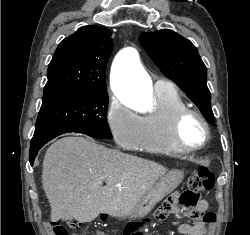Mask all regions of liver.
Here are the masks:
<instances>
[{"label": "liver", "mask_w": 250, "mask_h": 235, "mask_svg": "<svg viewBox=\"0 0 250 235\" xmlns=\"http://www.w3.org/2000/svg\"><path fill=\"white\" fill-rule=\"evenodd\" d=\"M166 172L156 162L83 137L61 138L47 149L43 160L42 184L51 220L91 222L100 213L126 216Z\"/></svg>", "instance_id": "liver-1"}]
</instances>
